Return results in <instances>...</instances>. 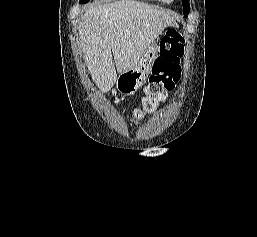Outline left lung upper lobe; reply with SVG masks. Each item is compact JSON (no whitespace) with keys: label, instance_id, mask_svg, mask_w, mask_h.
<instances>
[{"label":"left lung upper lobe","instance_id":"left-lung-upper-lobe-1","mask_svg":"<svg viewBox=\"0 0 257 237\" xmlns=\"http://www.w3.org/2000/svg\"><path fill=\"white\" fill-rule=\"evenodd\" d=\"M184 16L187 17L190 11L189 0H182Z\"/></svg>","mask_w":257,"mask_h":237}]
</instances>
